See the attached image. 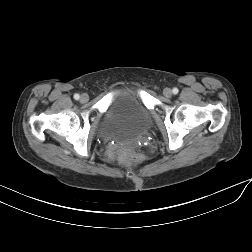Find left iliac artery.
I'll list each match as a JSON object with an SVG mask.
<instances>
[{"label":"left iliac artery","instance_id":"1","mask_svg":"<svg viewBox=\"0 0 252 252\" xmlns=\"http://www.w3.org/2000/svg\"><path fill=\"white\" fill-rule=\"evenodd\" d=\"M172 92H173V94H177L179 92V90L177 88H173Z\"/></svg>","mask_w":252,"mask_h":252}]
</instances>
